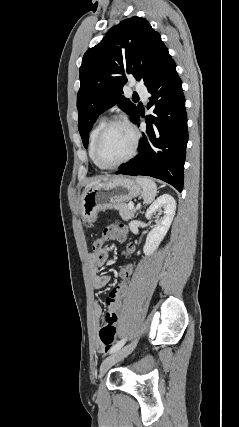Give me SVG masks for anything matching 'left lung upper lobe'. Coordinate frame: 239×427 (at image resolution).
Masks as SVG:
<instances>
[{
    "mask_svg": "<svg viewBox=\"0 0 239 427\" xmlns=\"http://www.w3.org/2000/svg\"><path fill=\"white\" fill-rule=\"evenodd\" d=\"M173 59L149 22L137 16L111 28L102 41L84 54L77 95L78 129L84 147L97 117L117 104L133 119L138 113L131 100L122 96L127 75L147 86Z\"/></svg>",
    "mask_w": 239,
    "mask_h": 427,
    "instance_id": "1",
    "label": "left lung upper lobe"
}]
</instances>
